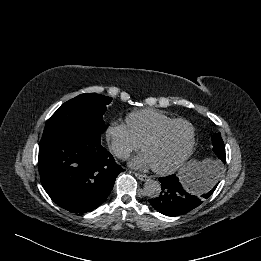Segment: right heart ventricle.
<instances>
[{
  "instance_id": "1",
  "label": "right heart ventricle",
  "mask_w": 261,
  "mask_h": 261,
  "mask_svg": "<svg viewBox=\"0 0 261 261\" xmlns=\"http://www.w3.org/2000/svg\"><path fill=\"white\" fill-rule=\"evenodd\" d=\"M172 119L163 111L146 108L130 112L125 121L132 135L141 144L160 125Z\"/></svg>"
}]
</instances>
